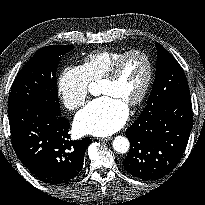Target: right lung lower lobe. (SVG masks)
Segmentation results:
<instances>
[{"label": "right lung lower lobe", "instance_id": "1", "mask_svg": "<svg viewBox=\"0 0 205 205\" xmlns=\"http://www.w3.org/2000/svg\"><path fill=\"white\" fill-rule=\"evenodd\" d=\"M8 116L13 148L33 176L60 185L79 174L91 139L69 141L70 123L61 113L23 102L8 105Z\"/></svg>", "mask_w": 205, "mask_h": 205}]
</instances>
